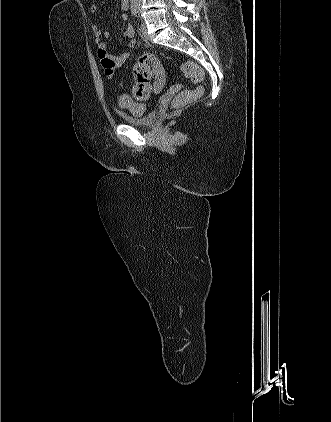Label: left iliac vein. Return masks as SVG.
Listing matches in <instances>:
<instances>
[{"mask_svg":"<svg viewBox=\"0 0 331 422\" xmlns=\"http://www.w3.org/2000/svg\"><path fill=\"white\" fill-rule=\"evenodd\" d=\"M141 34L146 40L148 39L147 28L144 23L141 24Z\"/></svg>","mask_w":331,"mask_h":422,"instance_id":"4c4485c4","label":"left iliac vein"}]
</instances>
